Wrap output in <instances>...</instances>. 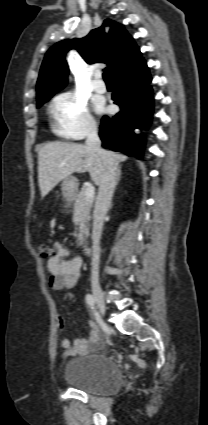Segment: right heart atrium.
Segmentation results:
<instances>
[{"label":"right heart atrium","instance_id":"right-heart-atrium-1","mask_svg":"<svg viewBox=\"0 0 208 425\" xmlns=\"http://www.w3.org/2000/svg\"><path fill=\"white\" fill-rule=\"evenodd\" d=\"M56 131L64 137L83 139L96 132V124L87 102L78 95L64 92L51 104Z\"/></svg>","mask_w":208,"mask_h":425}]
</instances>
